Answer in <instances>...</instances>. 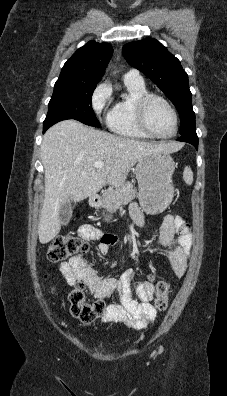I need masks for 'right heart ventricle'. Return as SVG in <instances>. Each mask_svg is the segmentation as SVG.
<instances>
[{
    "mask_svg": "<svg viewBox=\"0 0 227 396\" xmlns=\"http://www.w3.org/2000/svg\"><path fill=\"white\" fill-rule=\"evenodd\" d=\"M127 97L117 100L107 116V126L115 134L128 138L148 139L138 125L135 114L136 101L148 93L144 82L124 80Z\"/></svg>",
    "mask_w": 227,
    "mask_h": 396,
    "instance_id": "e07e8e85",
    "label": "right heart ventricle"
}]
</instances>
